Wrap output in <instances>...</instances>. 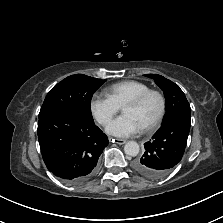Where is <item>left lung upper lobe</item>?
Listing matches in <instances>:
<instances>
[{
	"mask_svg": "<svg viewBox=\"0 0 223 223\" xmlns=\"http://www.w3.org/2000/svg\"><path fill=\"white\" fill-rule=\"evenodd\" d=\"M145 76L154 79L165 95L166 113L162 125L174 119L191 122V108L180 87L161 75L146 74Z\"/></svg>",
	"mask_w": 223,
	"mask_h": 223,
	"instance_id": "5c2ea615",
	"label": "left lung upper lobe"
}]
</instances>
